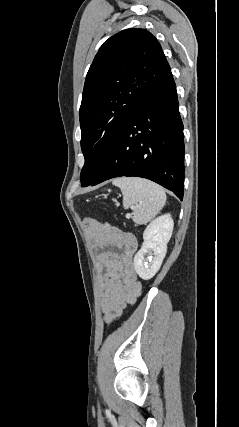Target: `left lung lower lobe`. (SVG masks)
Returning <instances> with one entry per match:
<instances>
[{"instance_id": "0a47b994", "label": "left lung lower lobe", "mask_w": 239, "mask_h": 427, "mask_svg": "<svg viewBox=\"0 0 239 427\" xmlns=\"http://www.w3.org/2000/svg\"><path fill=\"white\" fill-rule=\"evenodd\" d=\"M184 137L176 85L170 72L138 105L121 130L92 186L136 176L150 179L183 199Z\"/></svg>"}]
</instances>
